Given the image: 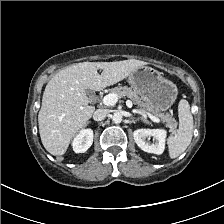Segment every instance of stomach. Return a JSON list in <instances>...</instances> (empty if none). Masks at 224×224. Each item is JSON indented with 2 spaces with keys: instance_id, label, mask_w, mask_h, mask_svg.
<instances>
[{
  "instance_id": "1",
  "label": "stomach",
  "mask_w": 224,
  "mask_h": 224,
  "mask_svg": "<svg viewBox=\"0 0 224 224\" xmlns=\"http://www.w3.org/2000/svg\"><path fill=\"white\" fill-rule=\"evenodd\" d=\"M129 84L141 99L157 111H166L175 102L178 89L162 73L149 66H142L128 76Z\"/></svg>"
}]
</instances>
